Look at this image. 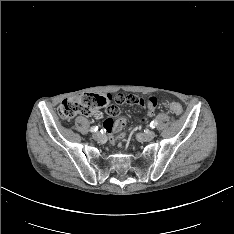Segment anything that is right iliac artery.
Listing matches in <instances>:
<instances>
[{
	"label": "right iliac artery",
	"instance_id": "obj_1",
	"mask_svg": "<svg viewBox=\"0 0 234 234\" xmlns=\"http://www.w3.org/2000/svg\"><path fill=\"white\" fill-rule=\"evenodd\" d=\"M97 130H98V127H97V126H93V127L90 128V131H91V132H95V131H97Z\"/></svg>",
	"mask_w": 234,
	"mask_h": 234
}]
</instances>
